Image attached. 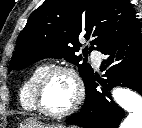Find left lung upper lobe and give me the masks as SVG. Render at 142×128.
Instances as JSON below:
<instances>
[{"label":"left lung upper lobe","mask_w":142,"mask_h":128,"mask_svg":"<svg viewBox=\"0 0 142 128\" xmlns=\"http://www.w3.org/2000/svg\"><path fill=\"white\" fill-rule=\"evenodd\" d=\"M137 25L129 0H45L31 13L18 36L9 71L13 67L22 69L43 58H65L78 65L86 84L93 69L85 59L79 64L82 56L75 55L81 47L78 36L91 39L89 51H101Z\"/></svg>","instance_id":"obj_1"}]
</instances>
